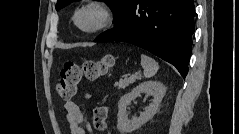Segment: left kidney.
<instances>
[{
  "label": "left kidney",
  "instance_id": "1",
  "mask_svg": "<svg viewBox=\"0 0 239 134\" xmlns=\"http://www.w3.org/2000/svg\"><path fill=\"white\" fill-rule=\"evenodd\" d=\"M142 93L152 95V103L145 107L144 112L139 117L128 119L127 106ZM165 93L166 87L161 82L146 81L140 83L130 93L122 96L119 100L117 114V129L119 132L129 134L148 122L157 112Z\"/></svg>",
  "mask_w": 239,
  "mask_h": 134
}]
</instances>
